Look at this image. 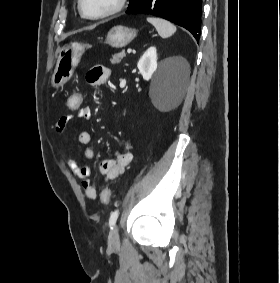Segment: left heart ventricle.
I'll list each match as a JSON object with an SVG mask.
<instances>
[{
	"label": "left heart ventricle",
	"mask_w": 280,
	"mask_h": 283,
	"mask_svg": "<svg viewBox=\"0 0 280 283\" xmlns=\"http://www.w3.org/2000/svg\"><path fill=\"white\" fill-rule=\"evenodd\" d=\"M118 0H83V8L89 15H98L112 9Z\"/></svg>",
	"instance_id": "1"
}]
</instances>
